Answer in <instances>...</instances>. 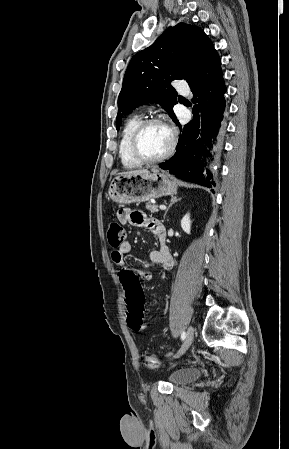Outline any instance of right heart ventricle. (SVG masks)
<instances>
[{
	"label": "right heart ventricle",
	"mask_w": 289,
	"mask_h": 449,
	"mask_svg": "<svg viewBox=\"0 0 289 449\" xmlns=\"http://www.w3.org/2000/svg\"><path fill=\"white\" fill-rule=\"evenodd\" d=\"M141 120L142 118L140 115H133L126 121L122 129L119 144V157L121 163L126 168H136L141 165V163L134 158L131 152V137Z\"/></svg>",
	"instance_id": "1"
}]
</instances>
